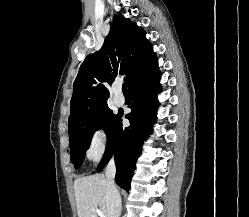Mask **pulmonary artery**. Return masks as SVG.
Returning a JSON list of instances; mask_svg holds the SVG:
<instances>
[{"mask_svg": "<svg viewBox=\"0 0 249 217\" xmlns=\"http://www.w3.org/2000/svg\"><path fill=\"white\" fill-rule=\"evenodd\" d=\"M114 103L117 106H122L124 104V98H123V96H121V95H115L114 96Z\"/></svg>", "mask_w": 249, "mask_h": 217, "instance_id": "pulmonary-artery-1", "label": "pulmonary artery"}]
</instances>
